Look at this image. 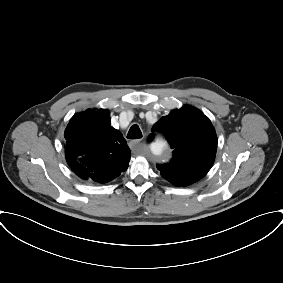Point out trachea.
<instances>
[{
    "mask_svg": "<svg viewBox=\"0 0 283 283\" xmlns=\"http://www.w3.org/2000/svg\"><path fill=\"white\" fill-rule=\"evenodd\" d=\"M128 139H139L142 138V133L138 125H132L128 134H127Z\"/></svg>",
    "mask_w": 283,
    "mask_h": 283,
    "instance_id": "3493384b",
    "label": "trachea"
}]
</instances>
